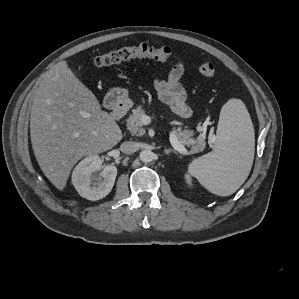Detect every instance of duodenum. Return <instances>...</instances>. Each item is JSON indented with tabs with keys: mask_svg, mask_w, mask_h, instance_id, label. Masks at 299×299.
Returning <instances> with one entry per match:
<instances>
[{
	"mask_svg": "<svg viewBox=\"0 0 299 299\" xmlns=\"http://www.w3.org/2000/svg\"><path fill=\"white\" fill-rule=\"evenodd\" d=\"M128 109V101H115L111 106V118L113 120L121 119L126 114Z\"/></svg>",
	"mask_w": 299,
	"mask_h": 299,
	"instance_id": "duodenum-1",
	"label": "duodenum"
}]
</instances>
